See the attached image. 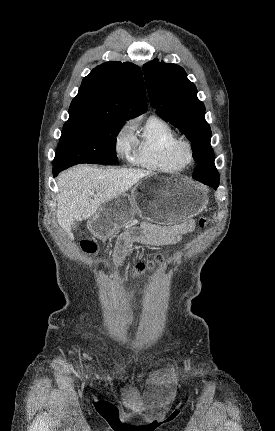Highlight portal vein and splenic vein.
<instances>
[{"label":"portal vein and splenic vein","mask_w":275,"mask_h":431,"mask_svg":"<svg viewBox=\"0 0 275 431\" xmlns=\"http://www.w3.org/2000/svg\"><path fill=\"white\" fill-rule=\"evenodd\" d=\"M89 194H90V195H94V191H90V192H89Z\"/></svg>","instance_id":"obj_1"}]
</instances>
